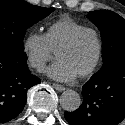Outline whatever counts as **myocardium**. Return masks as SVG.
I'll list each match as a JSON object with an SVG mask.
<instances>
[{
    "mask_svg": "<svg viewBox=\"0 0 125 125\" xmlns=\"http://www.w3.org/2000/svg\"><path fill=\"white\" fill-rule=\"evenodd\" d=\"M85 33H92L95 36V39L97 42V52L91 66L81 74L77 75V77L79 78H86L91 76L99 65V62L102 56V50H103V43L99 32L96 29L91 27H85L83 29H80L75 33H73L56 51V57L58 58V54L61 51L71 48L76 43V41Z\"/></svg>",
    "mask_w": 125,
    "mask_h": 125,
    "instance_id": "obj_1",
    "label": "myocardium"
}]
</instances>
